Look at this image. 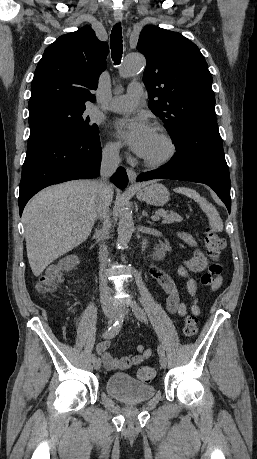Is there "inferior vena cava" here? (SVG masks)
Here are the masks:
<instances>
[{
  "instance_id": "1",
  "label": "inferior vena cava",
  "mask_w": 257,
  "mask_h": 459,
  "mask_svg": "<svg viewBox=\"0 0 257 459\" xmlns=\"http://www.w3.org/2000/svg\"><path fill=\"white\" fill-rule=\"evenodd\" d=\"M120 163L119 149L118 148H105L102 153V161L100 167V178L96 180L97 193H96V216L102 221V228L98 231V239L106 238V235L111 228V220L109 214V205L111 203L110 193L112 187L108 182V178L116 171ZM100 260V297L103 306L113 304L111 299V292L107 285L106 277L104 276L108 251L107 247L103 244L99 251Z\"/></svg>"
}]
</instances>
